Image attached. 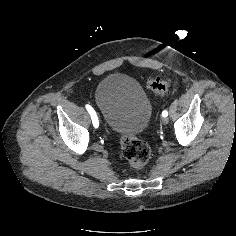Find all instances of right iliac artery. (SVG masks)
<instances>
[{
    "mask_svg": "<svg viewBox=\"0 0 236 236\" xmlns=\"http://www.w3.org/2000/svg\"><path fill=\"white\" fill-rule=\"evenodd\" d=\"M85 107L91 116L93 126L95 127L96 130H99L100 129V126L98 125L99 120L96 116L95 110L89 104H86Z\"/></svg>",
    "mask_w": 236,
    "mask_h": 236,
    "instance_id": "82829eb1",
    "label": "right iliac artery"
}]
</instances>
